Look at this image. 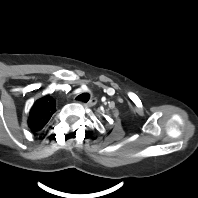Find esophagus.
<instances>
[{"instance_id":"34e87169","label":"esophagus","mask_w":198,"mask_h":198,"mask_svg":"<svg viewBox=\"0 0 198 198\" xmlns=\"http://www.w3.org/2000/svg\"><path fill=\"white\" fill-rule=\"evenodd\" d=\"M96 103H97V99H96V98H92V99L89 100L85 105H86L87 107H92V106L96 105Z\"/></svg>"}]
</instances>
